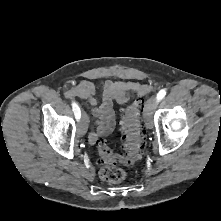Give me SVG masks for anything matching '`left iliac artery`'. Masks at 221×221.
<instances>
[{
  "label": "left iliac artery",
  "instance_id": "44dca946",
  "mask_svg": "<svg viewBox=\"0 0 221 221\" xmlns=\"http://www.w3.org/2000/svg\"><path fill=\"white\" fill-rule=\"evenodd\" d=\"M165 95H166V90L165 89L160 90L156 96L157 101L162 100L165 97Z\"/></svg>",
  "mask_w": 221,
  "mask_h": 221
}]
</instances>
